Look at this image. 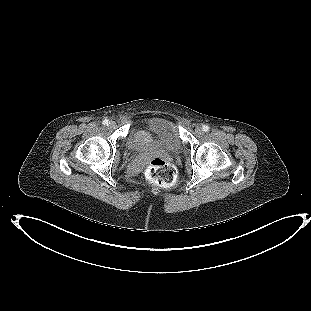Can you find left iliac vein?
Instances as JSON below:
<instances>
[{"mask_svg": "<svg viewBox=\"0 0 311 311\" xmlns=\"http://www.w3.org/2000/svg\"><path fill=\"white\" fill-rule=\"evenodd\" d=\"M195 132H196L197 134H202V133H203L202 127H201L200 125L196 126Z\"/></svg>", "mask_w": 311, "mask_h": 311, "instance_id": "4c4485c4", "label": "left iliac vein"}]
</instances>
